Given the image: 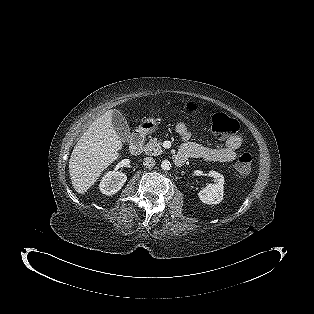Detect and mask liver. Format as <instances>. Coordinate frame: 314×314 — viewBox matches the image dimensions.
Returning <instances> with one entry per match:
<instances>
[{"instance_id": "6515ba94", "label": "liver", "mask_w": 314, "mask_h": 314, "mask_svg": "<svg viewBox=\"0 0 314 314\" xmlns=\"http://www.w3.org/2000/svg\"><path fill=\"white\" fill-rule=\"evenodd\" d=\"M114 110L98 117L75 145L70 160L72 186L84 194L99 179L102 172L120 157L122 141L112 124Z\"/></svg>"}]
</instances>
